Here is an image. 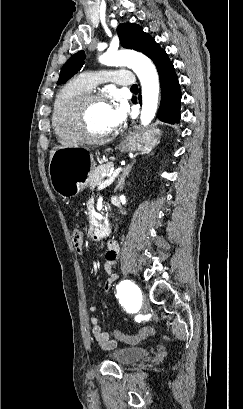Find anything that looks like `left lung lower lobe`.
Listing matches in <instances>:
<instances>
[{
	"instance_id": "left-lung-lower-lobe-1",
	"label": "left lung lower lobe",
	"mask_w": 243,
	"mask_h": 409,
	"mask_svg": "<svg viewBox=\"0 0 243 409\" xmlns=\"http://www.w3.org/2000/svg\"><path fill=\"white\" fill-rule=\"evenodd\" d=\"M162 90L161 105L157 118L163 122L175 124L180 121L181 92L172 62L158 68ZM139 100H141L139 98ZM136 102V98L132 99Z\"/></svg>"
}]
</instances>
